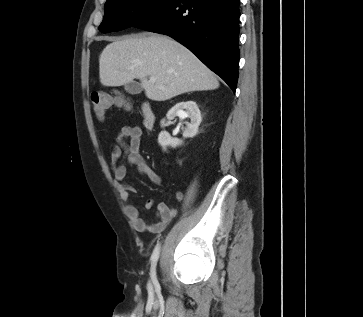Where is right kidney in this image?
Wrapping results in <instances>:
<instances>
[{"instance_id": "right-kidney-1", "label": "right kidney", "mask_w": 363, "mask_h": 317, "mask_svg": "<svg viewBox=\"0 0 363 317\" xmlns=\"http://www.w3.org/2000/svg\"><path fill=\"white\" fill-rule=\"evenodd\" d=\"M176 116L184 119L190 118V123H187V128L183 132L184 138L194 137L198 132V127L202 121L200 110L194 101H186L177 103L172 107L167 113V119L172 120ZM165 119L161 121V127H164ZM158 143L166 150L167 146L173 148L181 145L182 140L177 138H172L170 134L166 131H162L158 136Z\"/></svg>"}]
</instances>
